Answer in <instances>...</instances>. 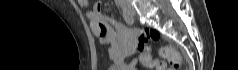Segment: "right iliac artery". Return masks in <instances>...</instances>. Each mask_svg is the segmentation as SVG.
Masks as SVG:
<instances>
[{
  "mask_svg": "<svg viewBox=\"0 0 238 70\" xmlns=\"http://www.w3.org/2000/svg\"><path fill=\"white\" fill-rule=\"evenodd\" d=\"M123 18L130 25L134 23L132 15L126 9H123Z\"/></svg>",
  "mask_w": 238,
  "mask_h": 70,
  "instance_id": "right-iliac-artery-1",
  "label": "right iliac artery"
}]
</instances>
